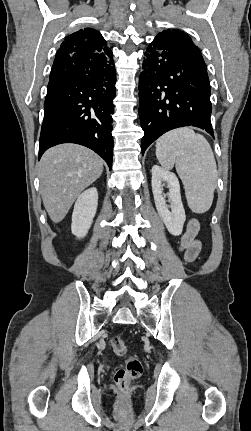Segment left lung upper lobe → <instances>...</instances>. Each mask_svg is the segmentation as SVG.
<instances>
[{"instance_id":"1","label":"left lung upper lobe","mask_w":251,"mask_h":431,"mask_svg":"<svg viewBox=\"0 0 251 431\" xmlns=\"http://www.w3.org/2000/svg\"><path fill=\"white\" fill-rule=\"evenodd\" d=\"M162 33L175 35L176 37H184L185 36L184 32L177 30V29H173V30L168 29V30L163 31Z\"/></svg>"}]
</instances>
